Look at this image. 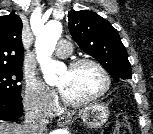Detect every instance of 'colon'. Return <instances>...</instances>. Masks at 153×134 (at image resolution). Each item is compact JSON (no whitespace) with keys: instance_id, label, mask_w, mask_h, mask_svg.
<instances>
[{"instance_id":"1","label":"colon","mask_w":153,"mask_h":134,"mask_svg":"<svg viewBox=\"0 0 153 134\" xmlns=\"http://www.w3.org/2000/svg\"><path fill=\"white\" fill-rule=\"evenodd\" d=\"M101 134H131L126 115L119 112L115 120L105 126Z\"/></svg>"}]
</instances>
